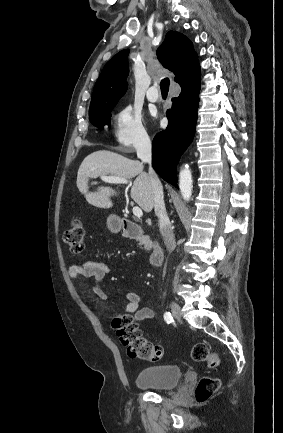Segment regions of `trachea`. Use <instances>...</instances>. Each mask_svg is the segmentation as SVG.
<instances>
[{
	"mask_svg": "<svg viewBox=\"0 0 283 433\" xmlns=\"http://www.w3.org/2000/svg\"><path fill=\"white\" fill-rule=\"evenodd\" d=\"M169 79L168 78H164L161 82H160V89L162 93H168L169 90Z\"/></svg>",
	"mask_w": 283,
	"mask_h": 433,
	"instance_id": "1",
	"label": "trachea"
}]
</instances>
